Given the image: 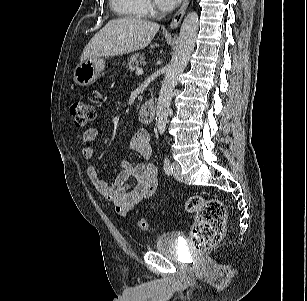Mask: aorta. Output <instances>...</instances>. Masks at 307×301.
<instances>
[{"label": "aorta", "mask_w": 307, "mask_h": 301, "mask_svg": "<svg viewBox=\"0 0 307 301\" xmlns=\"http://www.w3.org/2000/svg\"><path fill=\"white\" fill-rule=\"evenodd\" d=\"M198 25V14L194 11L190 12L181 25L177 46L171 62L166 67L156 109V127L160 135L164 134L166 129L172 94L178 78L187 66L194 50Z\"/></svg>", "instance_id": "762f6f07"}]
</instances>
